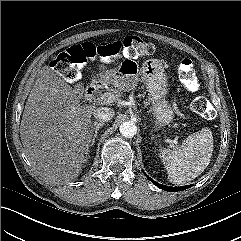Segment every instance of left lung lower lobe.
Listing matches in <instances>:
<instances>
[{
    "instance_id": "left-lung-lower-lobe-1",
    "label": "left lung lower lobe",
    "mask_w": 241,
    "mask_h": 241,
    "mask_svg": "<svg viewBox=\"0 0 241 241\" xmlns=\"http://www.w3.org/2000/svg\"><path fill=\"white\" fill-rule=\"evenodd\" d=\"M150 179V178H149ZM156 186H158L159 188L166 190V191H170V192H177V191H182L184 189H188L190 188L192 185H187V186H181V187H168V186H164L161 184H158L157 182H155L154 180L150 179Z\"/></svg>"
}]
</instances>
